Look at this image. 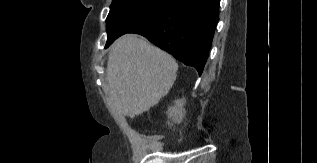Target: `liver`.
<instances>
[{"mask_svg": "<svg viewBox=\"0 0 317 163\" xmlns=\"http://www.w3.org/2000/svg\"><path fill=\"white\" fill-rule=\"evenodd\" d=\"M175 59L135 34H125L111 46L106 80L114 115L134 118L155 106L176 80Z\"/></svg>", "mask_w": 317, "mask_h": 163, "instance_id": "liver-1", "label": "liver"}]
</instances>
